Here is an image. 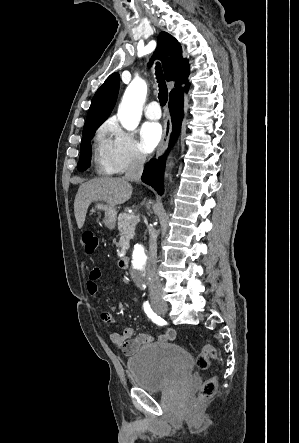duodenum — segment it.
<instances>
[{"instance_id": "410a0bca", "label": "duodenum", "mask_w": 299, "mask_h": 443, "mask_svg": "<svg viewBox=\"0 0 299 443\" xmlns=\"http://www.w3.org/2000/svg\"><path fill=\"white\" fill-rule=\"evenodd\" d=\"M117 264H118L119 269H122V270L127 269L129 266V257H127V256L120 257L118 259Z\"/></svg>"}]
</instances>
